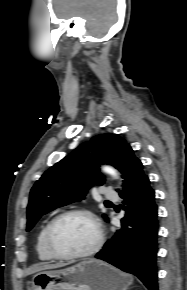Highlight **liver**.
<instances>
[{"label":"liver","instance_id":"liver-1","mask_svg":"<svg viewBox=\"0 0 187 290\" xmlns=\"http://www.w3.org/2000/svg\"><path fill=\"white\" fill-rule=\"evenodd\" d=\"M66 265H68V264L67 263H57V264L35 265L28 270V274H32V273H36V272H40V271L48 270V269H56V268L64 267Z\"/></svg>","mask_w":187,"mask_h":290}]
</instances>
